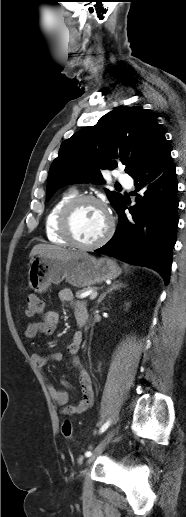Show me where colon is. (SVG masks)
Here are the masks:
<instances>
[{
    "mask_svg": "<svg viewBox=\"0 0 186 517\" xmlns=\"http://www.w3.org/2000/svg\"><path fill=\"white\" fill-rule=\"evenodd\" d=\"M44 306L39 296L31 294L26 300V314L28 316H35L42 314ZM62 434L66 439L73 438V427L70 420H65L62 424Z\"/></svg>",
    "mask_w": 186,
    "mask_h": 517,
    "instance_id": "obj_1",
    "label": "colon"
}]
</instances>
